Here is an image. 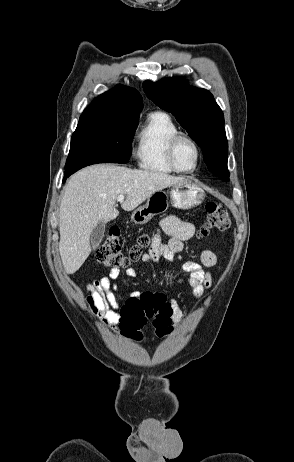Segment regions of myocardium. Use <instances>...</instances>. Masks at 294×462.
<instances>
[{
  "label": "myocardium",
  "instance_id": "f54148a6",
  "mask_svg": "<svg viewBox=\"0 0 294 462\" xmlns=\"http://www.w3.org/2000/svg\"><path fill=\"white\" fill-rule=\"evenodd\" d=\"M181 141H188L189 143L192 144V146L194 147L196 151V163L192 169H189V170L181 169L176 162V157H175L176 148ZM201 157H202L201 148L193 137L185 133L179 132L170 139L168 146H167V160H168L169 165L172 167L174 171L178 173H183V174H190V173L195 172L200 165Z\"/></svg>",
  "mask_w": 294,
  "mask_h": 462
}]
</instances>
